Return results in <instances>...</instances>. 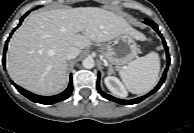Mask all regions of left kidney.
Returning <instances> with one entry per match:
<instances>
[{"instance_id": "1", "label": "left kidney", "mask_w": 194, "mask_h": 133, "mask_svg": "<svg viewBox=\"0 0 194 133\" xmlns=\"http://www.w3.org/2000/svg\"><path fill=\"white\" fill-rule=\"evenodd\" d=\"M105 84L107 88L115 95L120 97H125L127 92L117 77L114 76H107L105 78Z\"/></svg>"}]
</instances>
